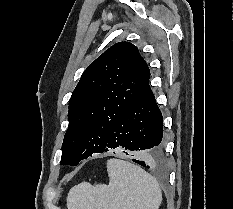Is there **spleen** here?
Masks as SVG:
<instances>
[{"mask_svg": "<svg viewBox=\"0 0 233 209\" xmlns=\"http://www.w3.org/2000/svg\"><path fill=\"white\" fill-rule=\"evenodd\" d=\"M109 184L82 182L67 196V209H159L162 192L156 179L128 161H107Z\"/></svg>", "mask_w": 233, "mask_h": 209, "instance_id": "3e777b00", "label": "spleen"}]
</instances>
